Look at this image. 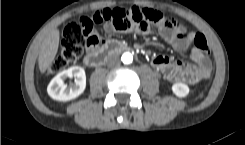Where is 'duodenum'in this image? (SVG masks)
I'll return each mask as SVG.
<instances>
[{"label":"duodenum","instance_id":"obj_1","mask_svg":"<svg viewBox=\"0 0 245 145\" xmlns=\"http://www.w3.org/2000/svg\"><path fill=\"white\" fill-rule=\"evenodd\" d=\"M121 51L135 52V48L124 45L118 41L109 40L100 47L89 50L84 57V62L89 67H99L108 57Z\"/></svg>","mask_w":245,"mask_h":145}]
</instances>
